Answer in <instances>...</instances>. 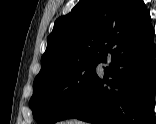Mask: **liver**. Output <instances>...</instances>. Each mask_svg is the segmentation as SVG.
Returning a JSON list of instances; mask_svg holds the SVG:
<instances>
[{
  "instance_id": "obj_1",
  "label": "liver",
  "mask_w": 156,
  "mask_h": 124,
  "mask_svg": "<svg viewBox=\"0 0 156 124\" xmlns=\"http://www.w3.org/2000/svg\"><path fill=\"white\" fill-rule=\"evenodd\" d=\"M63 124H85V123H83L81 121H77V120H72V121H66Z\"/></svg>"
}]
</instances>
